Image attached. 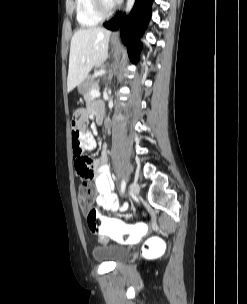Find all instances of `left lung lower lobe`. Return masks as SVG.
<instances>
[{
	"label": "left lung lower lobe",
	"instance_id": "obj_1",
	"mask_svg": "<svg viewBox=\"0 0 247 304\" xmlns=\"http://www.w3.org/2000/svg\"><path fill=\"white\" fill-rule=\"evenodd\" d=\"M153 0H136L135 5L128 17H122L119 12L104 26L110 30H116L120 27L123 43L128 46L130 59L135 63L138 57L136 50L141 49L139 42L140 36L147 27L151 17V5Z\"/></svg>",
	"mask_w": 247,
	"mask_h": 304
}]
</instances>
